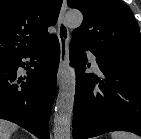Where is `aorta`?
Listing matches in <instances>:
<instances>
[{
    "instance_id": "1",
    "label": "aorta",
    "mask_w": 141,
    "mask_h": 139,
    "mask_svg": "<svg viewBox=\"0 0 141 139\" xmlns=\"http://www.w3.org/2000/svg\"><path fill=\"white\" fill-rule=\"evenodd\" d=\"M68 27L77 28L83 21L80 11L71 10L65 15ZM76 91V75L74 67L68 66L63 74L54 113V139H70L71 120Z\"/></svg>"
}]
</instances>
